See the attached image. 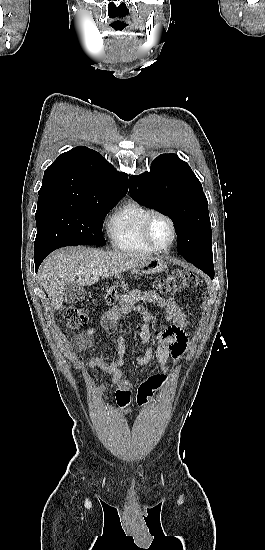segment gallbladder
<instances>
[{"label":"gallbladder","mask_w":265,"mask_h":550,"mask_svg":"<svg viewBox=\"0 0 265 550\" xmlns=\"http://www.w3.org/2000/svg\"><path fill=\"white\" fill-rule=\"evenodd\" d=\"M64 301L69 304H74L82 301L85 298V287L79 284H68L64 289Z\"/></svg>","instance_id":"obj_1"}]
</instances>
